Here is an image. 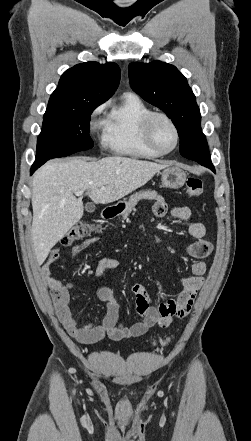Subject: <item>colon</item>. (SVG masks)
<instances>
[{
  "label": "colon",
  "mask_w": 251,
  "mask_h": 441,
  "mask_svg": "<svg viewBox=\"0 0 251 441\" xmlns=\"http://www.w3.org/2000/svg\"><path fill=\"white\" fill-rule=\"evenodd\" d=\"M186 193L189 197L196 198L203 193V183L199 178L190 177L186 182ZM95 228L86 223L79 222L74 225L61 239V243L65 246L71 245L75 241L90 236ZM171 341V337H166L158 342V346L164 347Z\"/></svg>",
  "instance_id": "obj_1"
}]
</instances>
